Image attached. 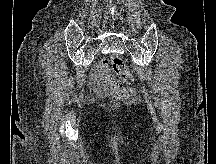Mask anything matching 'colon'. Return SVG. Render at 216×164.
Instances as JSON below:
<instances>
[{"label": "colon", "instance_id": "colon-1", "mask_svg": "<svg viewBox=\"0 0 216 164\" xmlns=\"http://www.w3.org/2000/svg\"><path fill=\"white\" fill-rule=\"evenodd\" d=\"M103 67L110 65L115 75L107 76L113 94L119 99H128L133 95V75L123 60L110 56L102 62Z\"/></svg>", "mask_w": 216, "mask_h": 164}]
</instances>
